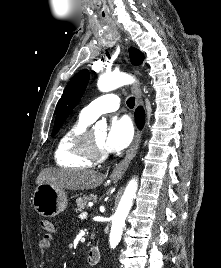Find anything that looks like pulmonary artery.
<instances>
[{
	"instance_id": "pulmonary-artery-1",
	"label": "pulmonary artery",
	"mask_w": 221,
	"mask_h": 268,
	"mask_svg": "<svg viewBox=\"0 0 221 268\" xmlns=\"http://www.w3.org/2000/svg\"><path fill=\"white\" fill-rule=\"evenodd\" d=\"M119 105L120 98L116 94H106L84 107L81 114L93 122L104 113L116 111Z\"/></svg>"
}]
</instances>
